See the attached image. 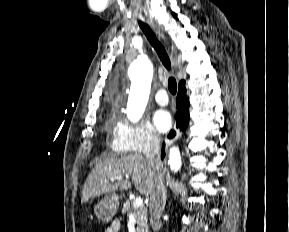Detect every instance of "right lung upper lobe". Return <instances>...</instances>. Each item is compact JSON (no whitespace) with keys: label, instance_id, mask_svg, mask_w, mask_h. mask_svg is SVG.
<instances>
[{"label":"right lung upper lobe","instance_id":"obj_1","mask_svg":"<svg viewBox=\"0 0 289 232\" xmlns=\"http://www.w3.org/2000/svg\"><path fill=\"white\" fill-rule=\"evenodd\" d=\"M185 87V81H180L179 82V88Z\"/></svg>","mask_w":289,"mask_h":232}]
</instances>
